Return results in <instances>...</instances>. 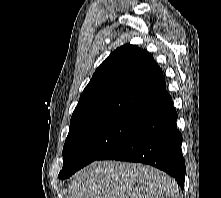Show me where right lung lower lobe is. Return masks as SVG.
Instances as JSON below:
<instances>
[{"label":"right lung lower lobe","instance_id":"98d812e1","mask_svg":"<svg viewBox=\"0 0 221 198\" xmlns=\"http://www.w3.org/2000/svg\"><path fill=\"white\" fill-rule=\"evenodd\" d=\"M176 121L177 112L169 99L97 160L113 159L148 164L174 177L183 188L185 161L181 151L182 135L177 129Z\"/></svg>","mask_w":221,"mask_h":198}]
</instances>
